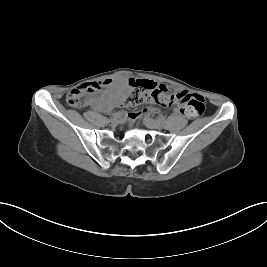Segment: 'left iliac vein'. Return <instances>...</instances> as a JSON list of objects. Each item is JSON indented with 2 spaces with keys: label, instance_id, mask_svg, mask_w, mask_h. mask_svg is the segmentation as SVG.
<instances>
[{
  "label": "left iliac vein",
  "instance_id": "4c4485c4",
  "mask_svg": "<svg viewBox=\"0 0 267 267\" xmlns=\"http://www.w3.org/2000/svg\"><path fill=\"white\" fill-rule=\"evenodd\" d=\"M144 123L148 128L151 129H160L162 128V123L158 120H154L150 117H145L144 118Z\"/></svg>",
  "mask_w": 267,
  "mask_h": 267
}]
</instances>
